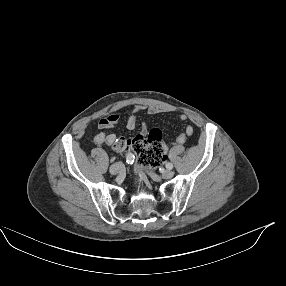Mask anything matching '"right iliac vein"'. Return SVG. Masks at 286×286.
<instances>
[{"mask_svg":"<svg viewBox=\"0 0 286 286\" xmlns=\"http://www.w3.org/2000/svg\"><path fill=\"white\" fill-rule=\"evenodd\" d=\"M123 170H124V165L121 162H117L110 167L109 172L112 175H116L123 172Z\"/></svg>","mask_w":286,"mask_h":286,"instance_id":"obj_1","label":"right iliac vein"}]
</instances>
